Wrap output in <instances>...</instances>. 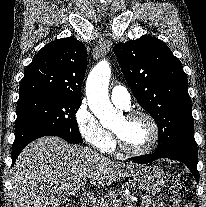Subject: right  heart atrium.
<instances>
[{
	"label": "right heart atrium",
	"mask_w": 206,
	"mask_h": 207,
	"mask_svg": "<svg viewBox=\"0 0 206 207\" xmlns=\"http://www.w3.org/2000/svg\"><path fill=\"white\" fill-rule=\"evenodd\" d=\"M74 119L81 137L91 147L102 152L113 150V135L104 129L98 118L89 108L86 100H82L78 105Z\"/></svg>",
	"instance_id": "right-heart-atrium-1"
}]
</instances>
